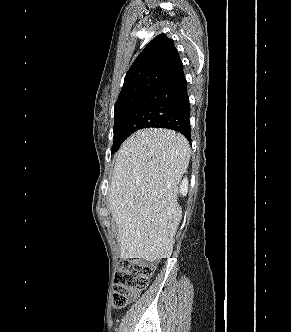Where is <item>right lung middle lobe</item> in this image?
<instances>
[{
    "label": "right lung middle lobe",
    "instance_id": "right-lung-middle-lobe-1",
    "mask_svg": "<svg viewBox=\"0 0 291 332\" xmlns=\"http://www.w3.org/2000/svg\"><path fill=\"white\" fill-rule=\"evenodd\" d=\"M148 93L140 92L117 100L114 107V143L111 153L117 151L122 142L127 138L124 133L125 125L136 106Z\"/></svg>",
    "mask_w": 291,
    "mask_h": 332
}]
</instances>
